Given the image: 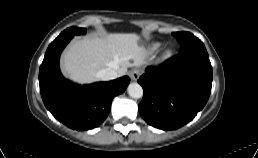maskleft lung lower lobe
<instances>
[{
	"mask_svg": "<svg viewBox=\"0 0 258 158\" xmlns=\"http://www.w3.org/2000/svg\"><path fill=\"white\" fill-rule=\"evenodd\" d=\"M138 82L144 90L139 113L149 125L162 130L185 125L211 92L212 66L204 44L197 38L182 45L177 56L146 68Z\"/></svg>",
	"mask_w": 258,
	"mask_h": 158,
	"instance_id": "obj_1",
	"label": "left lung lower lobe"
}]
</instances>
